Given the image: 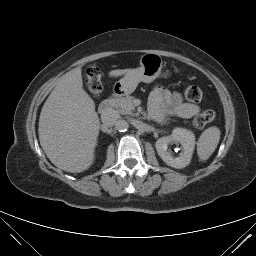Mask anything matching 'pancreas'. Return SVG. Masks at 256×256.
Here are the masks:
<instances>
[{"mask_svg":"<svg viewBox=\"0 0 256 256\" xmlns=\"http://www.w3.org/2000/svg\"><path fill=\"white\" fill-rule=\"evenodd\" d=\"M113 107L117 109V111L121 114L134 115L133 111L135 110V106L133 104L132 96H126L116 99L113 102Z\"/></svg>","mask_w":256,"mask_h":256,"instance_id":"cf45deb5","label":"pancreas"}]
</instances>
